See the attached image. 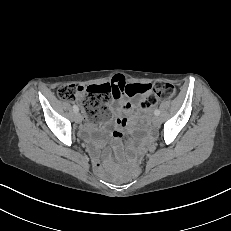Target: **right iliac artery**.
Masks as SVG:
<instances>
[{
    "mask_svg": "<svg viewBox=\"0 0 231 231\" xmlns=\"http://www.w3.org/2000/svg\"><path fill=\"white\" fill-rule=\"evenodd\" d=\"M73 110H74V112H78V111H79V108H78V106H76V105H73Z\"/></svg>",
    "mask_w": 231,
    "mask_h": 231,
    "instance_id": "1",
    "label": "right iliac artery"
}]
</instances>
